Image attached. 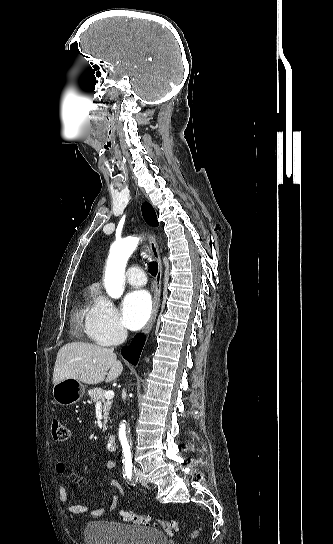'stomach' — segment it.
<instances>
[{
    "instance_id": "obj_1",
    "label": "stomach",
    "mask_w": 333,
    "mask_h": 544,
    "mask_svg": "<svg viewBox=\"0 0 333 544\" xmlns=\"http://www.w3.org/2000/svg\"><path fill=\"white\" fill-rule=\"evenodd\" d=\"M85 393V386L79 380L67 378L53 387L54 400L62 405L69 406L81 400Z\"/></svg>"
}]
</instances>
